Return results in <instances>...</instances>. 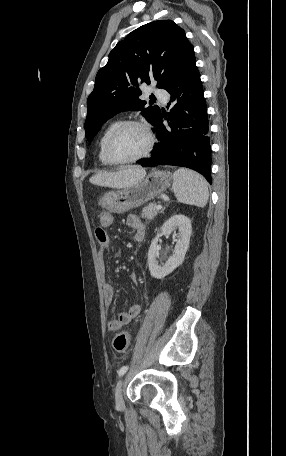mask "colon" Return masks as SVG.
I'll return each instance as SVG.
<instances>
[{
    "label": "colon",
    "mask_w": 286,
    "mask_h": 456,
    "mask_svg": "<svg viewBox=\"0 0 286 456\" xmlns=\"http://www.w3.org/2000/svg\"><path fill=\"white\" fill-rule=\"evenodd\" d=\"M130 337L127 332L118 334L113 340V348L118 353H123L129 346Z\"/></svg>",
    "instance_id": "obj_1"
}]
</instances>
